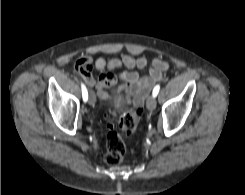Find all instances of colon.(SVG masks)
<instances>
[{"label":"colon","instance_id":"1","mask_svg":"<svg viewBox=\"0 0 245 195\" xmlns=\"http://www.w3.org/2000/svg\"><path fill=\"white\" fill-rule=\"evenodd\" d=\"M142 110L140 108L121 114L118 117H109L107 126L106 152L104 161L112 166L122 162L125 154L124 138L133 134L141 120Z\"/></svg>","mask_w":245,"mask_h":195}]
</instances>
